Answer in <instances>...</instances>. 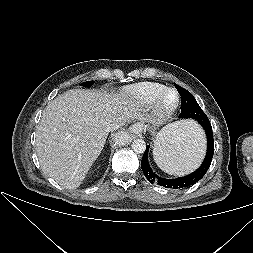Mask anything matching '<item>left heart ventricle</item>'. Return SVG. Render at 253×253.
<instances>
[{"instance_id":"obj_1","label":"left heart ventricle","mask_w":253,"mask_h":253,"mask_svg":"<svg viewBox=\"0 0 253 253\" xmlns=\"http://www.w3.org/2000/svg\"><path fill=\"white\" fill-rule=\"evenodd\" d=\"M176 101V94L175 92L171 91L168 92L165 96L164 102L167 106L172 105Z\"/></svg>"}]
</instances>
